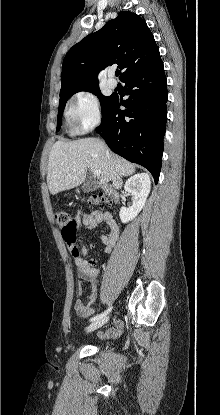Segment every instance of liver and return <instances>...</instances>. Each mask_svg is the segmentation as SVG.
<instances>
[{"mask_svg": "<svg viewBox=\"0 0 220 415\" xmlns=\"http://www.w3.org/2000/svg\"><path fill=\"white\" fill-rule=\"evenodd\" d=\"M101 171L100 184L117 177L130 176L135 166L122 157L109 152L105 143L97 138L76 141H57L50 152L47 184L52 195L82 184L87 169Z\"/></svg>", "mask_w": 220, "mask_h": 415, "instance_id": "liver-1", "label": "liver"}]
</instances>
